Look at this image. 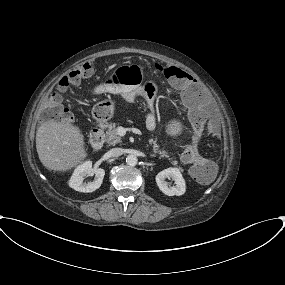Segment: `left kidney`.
I'll use <instances>...</instances> for the list:
<instances>
[{"mask_svg":"<svg viewBox=\"0 0 285 285\" xmlns=\"http://www.w3.org/2000/svg\"><path fill=\"white\" fill-rule=\"evenodd\" d=\"M166 178L174 180L175 186H170L165 181ZM156 183L159 189L168 196H180L186 191L185 180L178 168H168L156 175Z\"/></svg>","mask_w":285,"mask_h":285,"instance_id":"1","label":"left kidney"}]
</instances>
